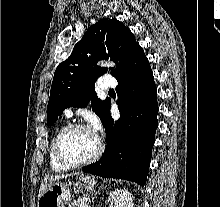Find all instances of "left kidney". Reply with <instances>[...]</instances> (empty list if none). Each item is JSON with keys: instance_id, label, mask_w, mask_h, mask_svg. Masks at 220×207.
Segmentation results:
<instances>
[{"instance_id": "1", "label": "left kidney", "mask_w": 220, "mask_h": 207, "mask_svg": "<svg viewBox=\"0 0 220 207\" xmlns=\"http://www.w3.org/2000/svg\"><path fill=\"white\" fill-rule=\"evenodd\" d=\"M108 201L109 207H133V197L131 193L124 189H116L110 192Z\"/></svg>"}]
</instances>
